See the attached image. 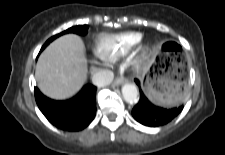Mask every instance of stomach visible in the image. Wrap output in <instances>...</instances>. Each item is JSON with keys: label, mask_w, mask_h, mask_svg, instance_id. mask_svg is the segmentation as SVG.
Here are the masks:
<instances>
[{"label": "stomach", "mask_w": 225, "mask_h": 155, "mask_svg": "<svg viewBox=\"0 0 225 155\" xmlns=\"http://www.w3.org/2000/svg\"><path fill=\"white\" fill-rule=\"evenodd\" d=\"M147 96L158 105H173L185 97L187 82L177 68L162 66L155 57L141 77Z\"/></svg>", "instance_id": "obj_1"}]
</instances>
